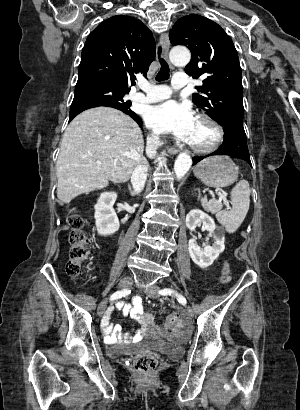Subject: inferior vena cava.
<instances>
[{"mask_svg": "<svg viewBox=\"0 0 300 410\" xmlns=\"http://www.w3.org/2000/svg\"><path fill=\"white\" fill-rule=\"evenodd\" d=\"M161 145V142L159 140V137L157 136H152L147 139V153L149 156H154L156 153L157 147ZM147 170H148V164L145 165H138L132 176H131V183L133 186V189L136 194H139L146 183L147 180Z\"/></svg>", "mask_w": 300, "mask_h": 410, "instance_id": "obj_1", "label": "inferior vena cava"}]
</instances>
